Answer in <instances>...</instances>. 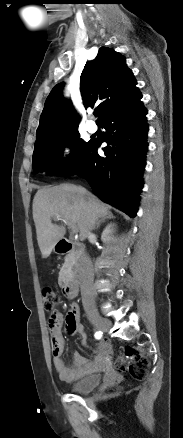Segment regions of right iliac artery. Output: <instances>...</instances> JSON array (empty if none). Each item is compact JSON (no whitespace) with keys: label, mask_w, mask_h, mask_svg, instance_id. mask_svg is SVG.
Returning a JSON list of instances; mask_svg holds the SVG:
<instances>
[{"label":"right iliac artery","mask_w":183,"mask_h":438,"mask_svg":"<svg viewBox=\"0 0 183 438\" xmlns=\"http://www.w3.org/2000/svg\"><path fill=\"white\" fill-rule=\"evenodd\" d=\"M102 332L101 331H97L96 333H95V338L96 339H100L101 337H102Z\"/></svg>","instance_id":"1"}]
</instances>
